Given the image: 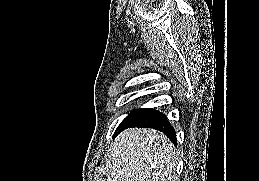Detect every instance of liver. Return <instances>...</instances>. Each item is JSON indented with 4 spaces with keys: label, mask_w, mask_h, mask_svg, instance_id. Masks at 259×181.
Segmentation results:
<instances>
[{
    "label": "liver",
    "mask_w": 259,
    "mask_h": 181,
    "mask_svg": "<svg viewBox=\"0 0 259 181\" xmlns=\"http://www.w3.org/2000/svg\"><path fill=\"white\" fill-rule=\"evenodd\" d=\"M107 181H173L177 153L171 141L154 129H127L109 154Z\"/></svg>",
    "instance_id": "liver-1"
}]
</instances>
